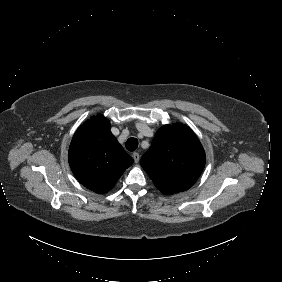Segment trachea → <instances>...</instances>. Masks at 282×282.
<instances>
[{
	"label": "trachea",
	"instance_id": "3493384b",
	"mask_svg": "<svg viewBox=\"0 0 282 282\" xmlns=\"http://www.w3.org/2000/svg\"><path fill=\"white\" fill-rule=\"evenodd\" d=\"M126 149L130 152H133L137 149L138 147V140L134 137H130L127 141H126Z\"/></svg>",
	"mask_w": 282,
	"mask_h": 282
}]
</instances>
